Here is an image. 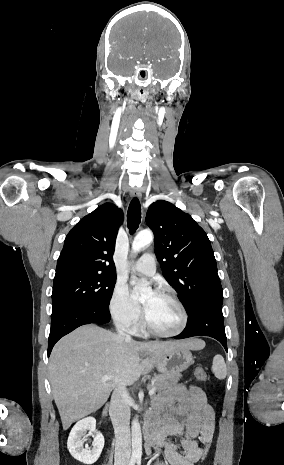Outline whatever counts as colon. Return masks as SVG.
I'll return each instance as SVG.
<instances>
[{
  "label": "colon",
  "instance_id": "1",
  "mask_svg": "<svg viewBox=\"0 0 284 465\" xmlns=\"http://www.w3.org/2000/svg\"><path fill=\"white\" fill-rule=\"evenodd\" d=\"M195 377L200 381H205L207 379V373L202 367H197L195 369ZM203 447H204L205 453L203 454V457L201 460L202 462L205 463L208 460L207 459L208 454H210L211 451L213 450V445L208 440H205L203 442Z\"/></svg>",
  "mask_w": 284,
  "mask_h": 465
}]
</instances>
